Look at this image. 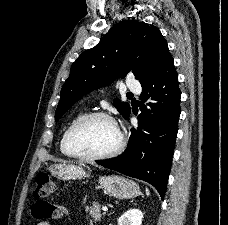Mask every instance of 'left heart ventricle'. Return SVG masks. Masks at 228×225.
Wrapping results in <instances>:
<instances>
[{
    "label": "left heart ventricle",
    "mask_w": 228,
    "mask_h": 225,
    "mask_svg": "<svg viewBox=\"0 0 228 225\" xmlns=\"http://www.w3.org/2000/svg\"><path fill=\"white\" fill-rule=\"evenodd\" d=\"M118 141L114 125L107 120L96 118L86 122L76 131L72 144L80 153L98 155L115 148Z\"/></svg>",
    "instance_id": "obj_1"
}]
</instances>
